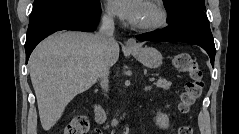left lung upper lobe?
I'll use <instances>...</instances> for the list:
<instances>
[{"label":"left lung upper lobe","instance_id":"1","mask_svg":"<svg viewBox=\"0 0 239 134\" xmlns=\"http://www.w3.org/2000/svg\"><path fill=\"white\" fill-rule=\"evenodd\" d=\"M168 12L169 23H173L188 10H205L204 0H163Z\"/></svg>","mask_w":239,"mask_h":134}]
</instances>
